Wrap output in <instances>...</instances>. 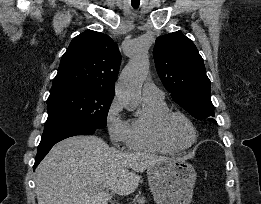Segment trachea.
Listing matches in <instances>:
<instances>
[{
	"instance_id": "3493384b",
	"label": "trachea",
	"mask_w": 261,
	"mask_h": 204,
	"mask_svg": "<svg viewBox=\"0 0 261 204\" xmlns=\"http://www.w3.org/2000/svg\"><path fill=\"white\" fill-rule=\"evenodd\" d=\"M134 9H137L139 7V4H132Z\"/></svg>"
}]
</instances>
